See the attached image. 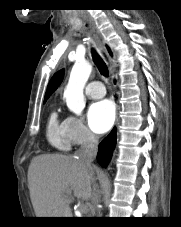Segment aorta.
<instances>
[{
  "label": "aorta",
  "instance_id": "aorta-1",
  "mask_svg": "<svg viewBox=\"0 0 181 227\" xmlns=\"http://www.w3.org/2000/svg\"><path fill=\"white\" fill-rule=\"evenodd\" d=\"M91 71L92 65L88 61H76L64 90L67 107L76 115H81L85 108L83 90Z\"/></svg>",
  "mask_w": 181,
  "mask_h": 227
}]
</instances>
